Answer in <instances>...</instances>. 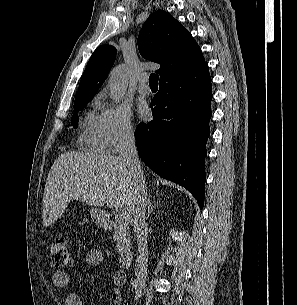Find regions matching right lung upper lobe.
Here are the masks:
<instances>
[{"label": "right lung upper lobe", "instance_id": "right-lung-upper-lobe-1", "mask_svg": "<svg viewBox=\"0 0 297 305\" xmlns=\"http://www.w3.org/2000/svg\"><path fill=\"white\" fill-rule=\"evenodd\" d=\"M141 55L159 63L160 81L183 76L205 63L200 47L192 35L167 12H153L139 32ZM116 58V48L98 47L81 78L75 101L94 96L106 79Z\"/></svg>", "mask_w": 297, "mask_h": 305}]
</instances>
